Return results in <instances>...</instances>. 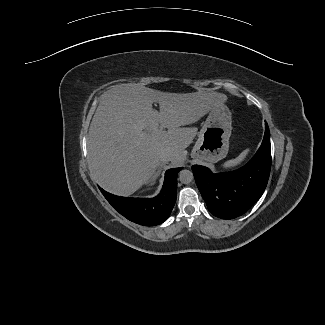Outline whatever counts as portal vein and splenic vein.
<instances>
[{
    "instance_id": "portal-vein-and-splenic-vein-1",
    "label": "portal vein and splenic vein",
    "mask_w": 325,
    "mask_h": 325,
    "mask_svg": "<svg viewBox=\"0 0 325 325\" xmlns=\"http://www.w3.org/2000/svg\"><path fill=\"white\" fill-rule=\"evenodd\" d=\"M156 129V128H155ZM160 131H162L163 130V127H160V129H159Z\"/></svg>"
}]
</instances>
